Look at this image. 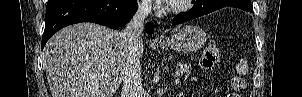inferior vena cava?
Instances as JSON below:
<instances>
[{"mask_svg": "<svg viewBox=\"0 0 302 97\" xmlns=\"http://www.w3.org/2000/svg\"><path fill=\"white\" fill-rule=\"evenodd\" d=\"M152 9L151 0H143L136 14L120 33L127 48V63L123 72V95L125 97H145L142 86L139 48L147 16Z\"/></svg>", "mask_w": 302, "mask_h": 97, "instance_id": "inferior-vena-cava-1", "label": "inferior vena cava"}]
</instances>
